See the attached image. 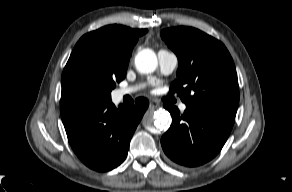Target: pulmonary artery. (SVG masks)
<instances>
[{"label": "pulmonary artery", "instance_id": "1", "mask_svg": "<svg viewBox=\"0 0 292 192\" xmlns=\"http://www.w3.org/2000/svg\"><path fill=\"white\" fill-rule=\"evenodd\" d=\"M157 56H158L160 70L163 75L171 74L178 65V58L176 54L171 51L161 49L158 51ZM139 88L140 86L122 88L117 91V95L118 97L121 98L123 96L130 95L136 92ZM179 108L182 112H184L186 110V105L180 104Z\"/></svg>", "mask_w": 292, "mask_h": 192}]
</instances>
